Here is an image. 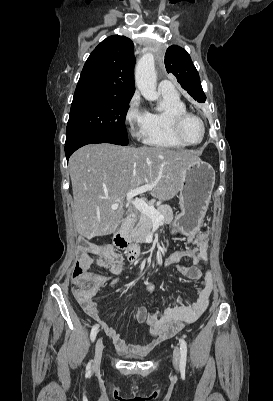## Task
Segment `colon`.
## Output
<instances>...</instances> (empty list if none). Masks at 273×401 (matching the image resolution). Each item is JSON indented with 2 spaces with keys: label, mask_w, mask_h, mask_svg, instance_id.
<instances>
[{
  "label": "colon",
  "mask_w": 273,
  "mask_h": 401,
  "mask_svg": "<svg viewBox=\"0 0 273 401\" xmlns=\"http://www.w3.org/2000/svg\"><path fill=\"white\" fill-rule=\"evenodd\" d=\"M81 257L74 258L75 274L73 278L70 280V285L75 287L73 290L74 297H87L88 293H101L102 286L101 284H94L93 278H90L91 270L94 268L93 261H86L87 251H80ZM147 291H153L154 285L147 284Z\"/></svg>",
  "instance_id": "obj_1"
}]
</instances>
